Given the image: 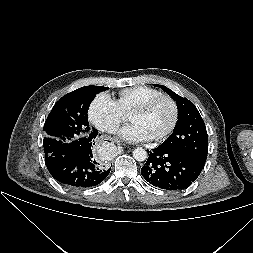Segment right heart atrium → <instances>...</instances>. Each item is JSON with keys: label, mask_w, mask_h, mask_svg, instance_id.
Returning <instances> with one entry per match:
<instances>
[{"label": "right heart atrium", "mask_w": 253, "mask_h": 253, "mask_svg": "<svg viewBox=\"0 0 253 253\" xmlns=\"http://www.w3.org/2000/svg\"><path fill=\"white\" fill-rule=\"evenodd\" d=\"M88 117L98 130L113 134L118 130L126 115L114 99L106 93H100L91 102Z\"/></svg>", "instance_id": "obj_1"}]
</instances>
